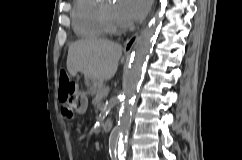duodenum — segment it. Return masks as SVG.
I'll return each instance as SVG.
<instances>
[{
	"label": "duodenum",
	"instance_id": "1",
	"mask_svg": "<svg viewBox=\"0 0 242 160\" xmlns=\"http://www.w3.org/2000/svg\"><path fill=\"white\" fill-rule=\"evenodd\" d=\"M113 123L111 120H106L103 123L102 130L103 132H109L112 129Z\"/></svg>",
	"mask_w": 242,
	"mask_h": 160
}]
</instances>
